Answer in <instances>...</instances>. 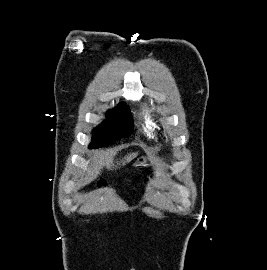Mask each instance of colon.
Here are the masks:
<instances>
[{"instance_id": "obj_1", "label": "colon", "mask_w": 267, "mask_h": 270, "mask_svg": "<svg viewBox=\"0 0 267 270\" xmlns=\"http://www.w3.org/2000/svg\"><path fill=\"white\" fill-rule=\"evenodd\" d=\"M99 185H103V182H99Z\"/></svg>"}]
</instances>
